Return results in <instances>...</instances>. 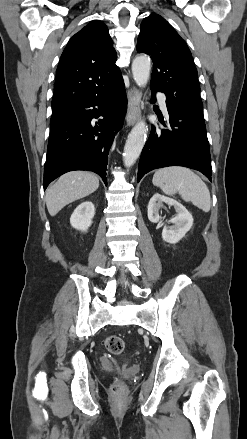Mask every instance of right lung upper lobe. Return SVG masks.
<instances>
[{"label":"right lung upper lobe","mask_w":247,"mask_h":439,"mask_svg":"<svg viewBox=\"0 0 247 439\" xmlns=\"http://www.w3.org/2000/svg\"><path fill=\"white\" fill-rule=\"evenodd\" d=\"M107 26L92 21L64 49L56 70L52 114L103 95L122 80Z\"/></svg>","instance_id":"1"}]
</instances>
